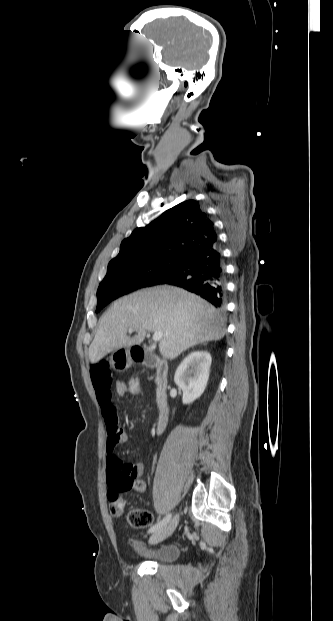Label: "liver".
<instances>
[{"label": "liver", "mask_w": 333, "mask_h": 621, "mask_svg": "<svg viewBox=\"0 0 333 621\" xmlns=\"http://www.w3.org/2000/svg\"><path fill=\"white\" fill-rule=\"evenodd\" d=\"M129 328L136 331L133 337L127 335ZM147 331L163 333L159 350L170 360L196 344L225 335L223 316L203 299L172 286L146 288L115 301L102 315L89 347L90 362L141 344Z\"/></svg>", "instance_id": "6515ba94"}]
</instances>
